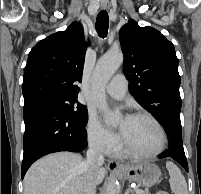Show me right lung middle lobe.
<instances>
[{
    "label": "right lung middle lobe",
    "mask_w": 201,
    "mask_h": 194,
    "mask_svg": "<svg viewBox=\"0 0 201 194\" xmlns=\"http://www.w3.org/2000/svg\"><path fill=\"white\" fill-rule=\"evenodd\" d=\"M34 100L49 103L61 109L72 120L82 126H86L88 112L86 106L77 102L76 97H67L60 95H44L35 98Z\"/></svg>",
    "instance_id": "dd1d6c3e"
}]
</instances>
